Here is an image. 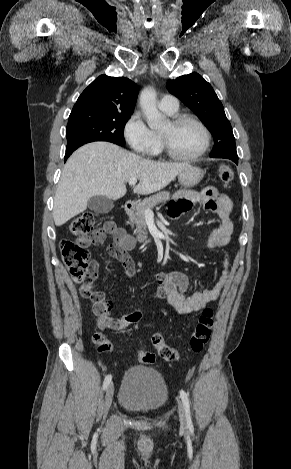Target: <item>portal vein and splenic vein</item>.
<instances>
[{"label": "portal vein and splenic vein", "mask_w": 291, "mask_h": 469, "mask_svg": "<svg viewBox=\"0 0 291 469\" xmlns=\"http://www.w3.org/2000/svg\"><path fill=\"white\" fill-rule=\"evenodd\" d=\"M136 183H137V179H136V178H131V179H129V184H130V185H135ZM151 213H152L151 209H147V210L145 211V214H151Z\"/></svg>", "instance_id": "obj_1"}]
</instances>
